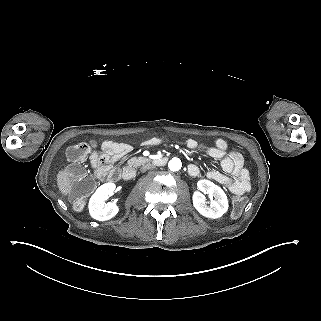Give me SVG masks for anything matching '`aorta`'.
I'll return each mask as SVG.
<instances>
[{
  "mask_svg": "<svg viewBox=\"0 0 321 321\" xmlns=\"http://www.w3.org/2000/svg\"><path fill=\"white\" fill-rule=\"evenodd\" d=\"M182 163L178 158H172L168 163V168L170 171H178L181 169Z\"/></svg>",
  "mask_w": 321,
  "mask_h": 321,
  "instance_id": "obj_1",
  "label": "aorta"
}]
</instances>
